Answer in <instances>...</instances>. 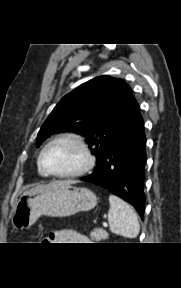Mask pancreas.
<instances>
[{
	"instance_id": "1",
	"label": "pancreas",
	"mask_w": 181,
	"mask_h": 288,
	"mask_svg": "<svg viewBox=\"0 0 181 288\" xmlns=\"http://www.w3.org/2000/svg\"><path fill=\"white\" fill-rule=\"evenodd\" d=\"M90 236L95 241H101L108 239L109 234L104 229L97 228L90 233Z\"/></svg>"
}]
</instances>
